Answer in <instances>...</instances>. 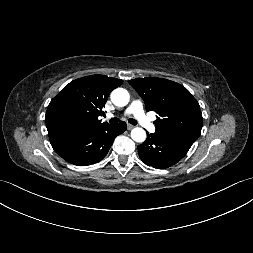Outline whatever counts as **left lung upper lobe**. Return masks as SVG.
I'll return each instance as SVG.
<instances>
[{
  "instance_id": "left-lung-upper-lobe-1",
  "label": "left lung upper lobe",
  "mask_w": 253,
  "mask_h": 253,
  "mask_svg": "<svg viewBox=\"0 0 253 253\" xmlns=\"http://www.w3.org/2000/svg\"><path fill=\"white\" fill-rule=\"evenodd\" d=\"M128 82L143 98L146 110L159 115L154 122L156 134L191 144L198 139L202 113L199 103L184 86L156 77Z\"/></svg>"
}]
</instances>
